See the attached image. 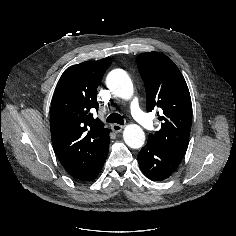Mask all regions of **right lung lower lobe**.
<instances>
[{"label": "right lung lower lobe", "mask_w": 236, "mask_h": 236, "mask_svg": "<svg viewBox=\"0 0 236 236\" xmlns=\"http://www.w3.org/2000/svg\"><path fill=\"white\" fill-rule=\"evenodd\" d=\"M108 153V152H107ZM107 154L83 177L79 178L81 181H92L95 179L103 167Z\"/></svg>", "instance_id": "obj_1"}]
</instances>
